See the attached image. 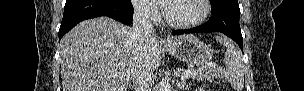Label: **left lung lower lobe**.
Listing matches in <instances>:
<instances>
[{"mask_svg": "<svg viewBox=\"0 0 304 91\" xmlns=\"http://www.w3.org/2000/svg\"><path fill=\"white\" fill-rule=\"evenodd\" d=\"M239 18L240 9L238 1L230 2L212 13L210 20L203 25L188 30L173 31V35L195 32H221L233 39L243 51Z\"/></svg>", "mask_w": 304, "mask_h": 91, "instance_id": "1", "label": "left lung lower lobe"}]
</instances>
